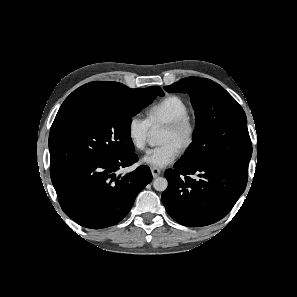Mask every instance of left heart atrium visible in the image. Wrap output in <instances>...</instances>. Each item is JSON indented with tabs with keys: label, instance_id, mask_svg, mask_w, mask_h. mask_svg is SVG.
<instances>
[{
	"label": "left heart atrium",
	"instance_id": "1",
	"mask_svg": "<svg viewBox=\"0 0 297 297\" xmlns=\"http://www.w3.org/2000/svg\"><path fill=\"white\" fill-rule=\"evenodd\" d=\"M180 149L172 143H164L149 151L142 162L152 168H164L174 162Z\"/></svg>",
	"mask_w": 297,
	"mask_h": 297
}]
</instances>
